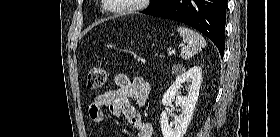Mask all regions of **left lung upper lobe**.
<instances>
[{
	"label": "left lung upper lobe",
	"mask_w": 280,
	"mask_h": 137,
	"mask_svg": "<svg viewBox=\"0 0 280 137\" xmlns=\"http://www.w3.org/2000/svg\"><path fill=\"white\" fill-rule=\"evenodd\" d=\"M163 0H157L153 5H150L145 11H148L154 7H156L157 5H159ZM144 11V12H145Z\"/></svg>",
	"instance_id": "1"
}]
</instances>
